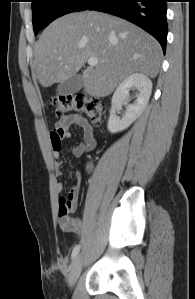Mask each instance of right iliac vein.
Here are the masks:
<instances>
[{"label": "right iliac vein", "mask_w": 195, "mask_h": 299, "mask_svg": "<svg viewBox=\"0 0 195 299\" xmlns=\"http://www.w3.org/2000/svg\"><path fill=\"white\" fill-rule=\"evenodd\" d=\"M81 269H82L81 256L78 255L74 259L73 264L70 268V272H69L68 283L71 288H73L75 286L76 281L81 273Z\"/></svg>", "instance_id": "1"}]
</instances>
